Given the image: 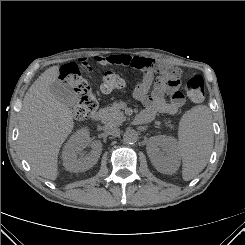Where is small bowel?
Here are the masks:
<instances>
[{
  "mask_svg": "<svg viewBox=\"0 0 245 245\" xmlns=\"http://www.w3.org/2000/svg\"><path fill=\"white\" fill-rule=\"evenodd\" d=\"M81 61L85 66H88L85 58H82ZM95 61L100 65H122L142 72V76L137 78L134 97L143 104L144 109L140 114L148 117L149 121L157 113L176 114L185 103V97L179 90V81L177 80L161 76L151 89L153 73L156 71V61L151 58L113 54L96 56ZM166 96L169 99H166Z\"/></svg>",
  "mask_w": 245,
  "mask_h": 245,
  "instance_id": "small-bowel-1",
  "label": "small bowel"
}]
</instances>
